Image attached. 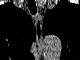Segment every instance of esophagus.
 <instances>
[{"instance_id":"34e87169","label":"esophagus","mask_w":80,"mask_h":60,"mask_svg":"<svg viewBox=\"0 0 80 60\" xmlns=\"http://www.w3.org/2000/svg\"><path fill=\"white\" fill-rule=\"evenodd\" d=\"M35 29H36V42L38 46V50H42V17L40 12H37V15L35 17Z\"/></svg>"}]
</instances>
